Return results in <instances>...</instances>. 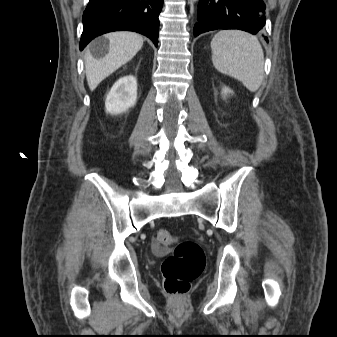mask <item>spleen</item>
<instances>
[{
	"instance_id": "spleen-1",
	"label": "spleen",
	"mask_w": 337,
	"mask_h": 337,
	"mask_svg": "<svg viewBox=\"0 0 337 337\" xmlns=\"http://www.w3.org/2000/svg\"><path fill=\"white\" fill-rule=\"evenodd\" d=\"M212 62L221 73L256 92L263 81L264 54L257 37L239 30L219 31L211 41Z\"/></svg>"
}]
</instances>
